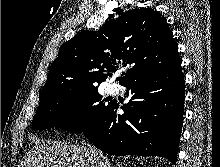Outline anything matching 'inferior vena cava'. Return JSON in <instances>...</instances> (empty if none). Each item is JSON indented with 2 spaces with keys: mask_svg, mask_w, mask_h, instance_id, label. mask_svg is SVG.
<instances>
[{
  "mask_svg": "<svg viewBox=\"0 0 220 167\" xmlns=\"http://www.w3.org/2000/svg\"><path fill=\"white\" fill-rule=\"evenodd\" d=\"M99 166L98 167H110L109 163L106 161L104 156L98 155Z\"/></svg>",
  "mask_w": 220,
  "mask_h": 167,
  "instance_id": "602c4592",
  "label": "inferior vena cava"
}]
</instances>
